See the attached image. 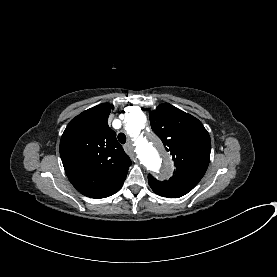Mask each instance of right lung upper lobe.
<instances>
[{"instance_id":"cb5924a9","label":"right lung upper lobe","mask_w":277,"mask_h":277,"mask_svg":"<svg viewBox=\"0 0 277 277\" xmlns=\"http://www.w3.org/2000/svg\"><path fill=\"white\" fill-rule=\"evenodd\" d=\"M113 109L100 104L76 116L60 141V156L72 185L90 198H105L123 185L131 160L108 126Z\"/></svg>"}]
</instances>
